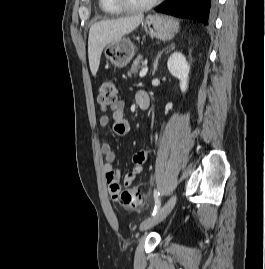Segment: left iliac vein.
Masks as SVG:
<instances>
[{
	"mask_svg": "<svg viewBox=\"0 0 265 269\" xmlns=\"http://www.w3.org/2000/svg\"><path fill=\"white\" fill-rule=\"evenodd\" d=\"M176 195H173L157 212L155 215H153L151 218H149L148 220L144 221L141 226H140V230L141 231H145L148 230L150 228H152L153 226H155L156 224L160 223L161 221H163L172 211L173 207L176 204Z\"/></svg>",
	"mask_w": 265,
	"mask_h": 269,
	"instance_id": "left-iliac-vein-1",
	"label": "left iliac vein"
}]
</instances>
